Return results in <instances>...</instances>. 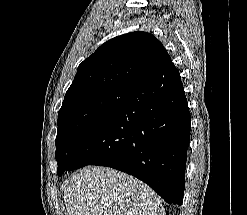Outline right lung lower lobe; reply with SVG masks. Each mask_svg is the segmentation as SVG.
Segmentation results:
<instances>
[{"mask_svg": "<svg viewBox=\"0 0 247 215\" xmlns=\"http://www.w3.org/2000/svg\"><path fill=\"white\" fill-rule=\"evenodd\" d=\"M190 129L180 74L168 58L117 111L85 132L66 172L112 167L147 183L167 203L181 205Z\"/></svg>", "mask_w": 247, "mask_h": 215, "instance_id": "right-lung-lower-lobe-1", "label": "right lung lower lobe"}]
</instances>
